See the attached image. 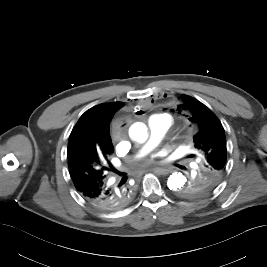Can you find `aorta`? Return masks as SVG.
I'll return each instance as SVG.
<instances>
[{"label":"aorta","mask_w":267,"mask_h":267,"mask_svg":"<svg viewBox=\"0 0 267 267\" xmlns=\"http://www.w3.org/2000/svg\"><path fill=\"white\" fill-rule=\"evenodd\" d=\"M129 135L132 139L139 143H143L148 138L146 125L141 122H136L131 125ZM186 183V177L180 172L172 173L167 181V186L170 190L177 191Z\"/></svg>","instance_id":"aorta-1"}]
</instances>
